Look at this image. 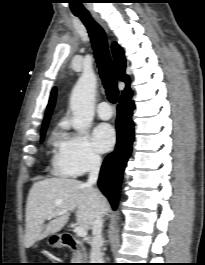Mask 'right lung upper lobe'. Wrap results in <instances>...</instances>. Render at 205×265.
I'll return each mask as SVG.
<instances>
[{
    "mask_svg": "<svg viewBox=\"0 0 205 265\" xmlns=\"http://www.w3.org/2000/svg\"><path fill=\"white\" fill-rule=\"evenodd\" d=\"M112 52L115 60V65L117 69V75L120 80L124 81L126 83V88L125 91L123 92V95L121 96L120 100H127L131 98V90L129 88V78L125 74V68H126V61L124 57V52L122 48L117 44L113 43L112 45ZM55 99H56V89L54 88L51 92L50 100L47 106L45 118L43 121V127L48 126V122L50 120L54 104H55Z\"/></svg>",
    "mask_w": 205,
    "mask_h": 265,
    "instance_id": "right-lung-upper-lobe-1",
    "label": "right lung upper lobe"
}]
</instances>
